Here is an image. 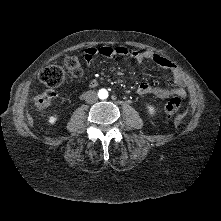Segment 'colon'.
<instances>
[{
	"instance_id": "5ec220e1",
	"label": "colon",
	"mask_w": 221,
	"mask_h": 221,
	"mask_svg": "<svg viewBox=\"0 0 221 221\" xmlns=\"http://www.w3.org/2000/svg\"><path fill=\"white\" fill-rule=\"evenodd\" d=\"M83 73V68L79 58L75 56L67 57L63 66L50 65L45 67L39 74V80L49 88L59 86L68 77H79ZM55 99L52 90L40 91L34 94L33 103L37 111L45 112ZM181 108V99L174 96L165 105L167 115L176 114Z\"/></svg>"
}]
</instances>
